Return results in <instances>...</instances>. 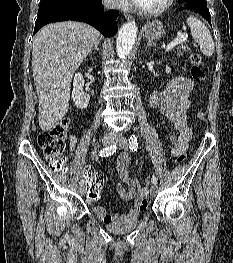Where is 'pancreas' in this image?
<instances>
[{"mask_svg":"<svg viewBox=\"0 0 233 263\" xmlns=\"http://www.w3.org/2000/svg\"><path fill=\"white\" fill-rule=\"evenodd\" d=\"M177 54L179 56H182L183 52H187L190 50V48L188 47V45H185V44H180L178 47H177Z\"/></svg>","mask_w":233,"mask_h":263,"instance_id":"1","label":"pancreas"}]
</instances>
